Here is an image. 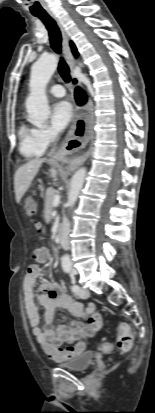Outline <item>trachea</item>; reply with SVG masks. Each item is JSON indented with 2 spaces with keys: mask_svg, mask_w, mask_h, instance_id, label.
Wrapping results in <instances>:
<instances>
[{
  "mask_svg": "<svg viewBox=\"0 0 155 413\" xmlns=\"http://www.w3.org/2000/svg\"><path fill=\"white\" fill-rule=\"evenodd\" d=\"M33 15L35 17H38L45 24L49 32L51 47L56 53L60 54L62 37L61 32L54 19L50 17L48 13H35ZM58 71L65 82H70L71 77L69 73V68L63 58L60 59Z\"/></svg>",
  "mask_w": 155,
  "mask_h": 413,
  "instance_id": "obj_1",
  "label": "trachea"
}]
</instances>
